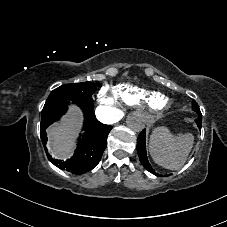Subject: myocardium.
Returning <instances> with one entry per match:
<instances>
[{
  "label": "myocardium",
  "mask_w": 227,
  "mask_h": 227,
  "mask_svg": "<svg viewBox=\"0 0 227 227\" xmlns=\"http://www.w3.org/2000/svg\"><path fill=\"white\" fill-rule=\"evenodd\" d=\"M165 106V107H170V103H163L162 107Z\"/></svg>",
  "instance_id": "1"
}]
</instances>
